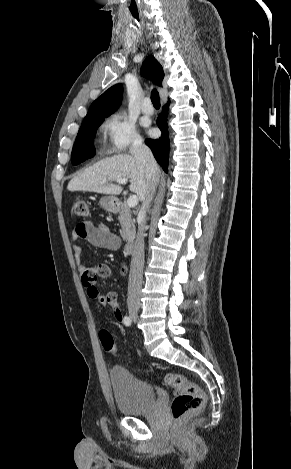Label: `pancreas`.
<instances>
[{
  "label": "pancreas",
  "mask_w": 291,
  "mask_h": 469,
  "mask_svg": "<svg viewBox=\"0 0 291 469\" xmlns=\"http://www.w3.org/2000/svg\"><path fill=\"white\" fill-rule=\"evenodd\" d=\"M118 220L121 225L120 234L122 239L127 242H132L135 237V224L132 218V212L126 204H122Z\"/></svg>",
  "instance_id": "obj_1"
}]
</instances>
